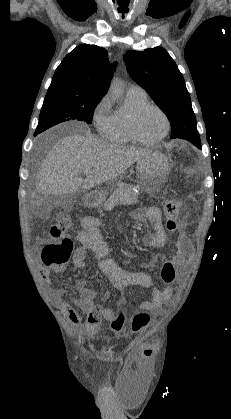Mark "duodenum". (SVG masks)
<instances>
[{
    "label": "duodenum",
    "mask_w": 231,
    "mask_h": 419,
    "mask_svg": "<svg viewBox=\"0 0 231 419\" xmlns=\"http://www.w3.org/2000/svg\"><path fill=\"white\" fill-rule=\"evenodd\" d=\"M99 200V196L97 193H88L85 196V205L87 207H94Z\"/></svg>",
    "instance_id": "1"
}]
</instances>
